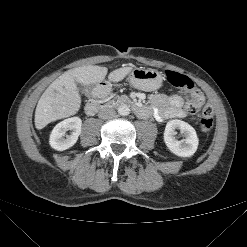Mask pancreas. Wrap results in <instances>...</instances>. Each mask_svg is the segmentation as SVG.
I'll use <instances>...</instances> for the list:
<instances>
[{
  "label": "pancreas",
  "mask_w": 247,
  "mask_h": 247,
  "mask_svg": "<svg viewBox=\"0 0 247 247\" xmlns=\"http://www.w3.org/2000/svg\"><path fill=\"white\" fill-rule=\"evenodd\" d=\"M119 100H127V97L126 96H124V97H120V98H118ZM112 102H116V101H112Z\"/></svg>",
  "instance_id": "obj_1"
}]
</instances>
